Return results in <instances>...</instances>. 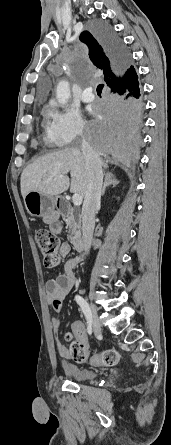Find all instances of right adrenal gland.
<instances>
[{
	"instance_id": "obj_1",
	"label": "right adrenal gland",
	"mask_w": 171,
	"mask_h": 445,
	"mask_svg": "<svg viewBox=\"0 0 171 445\" xmlns=\"http://www.w3.org/2000/svg\"><path fill=\"white\" fill-rule=\"evenodd\" d=\"M118 184H119V181L116 179V177L112 173H106L101 195L102 196L104 195L106 187H108L110 185L115 187Z\"/></svg>"
}]
</instances>
